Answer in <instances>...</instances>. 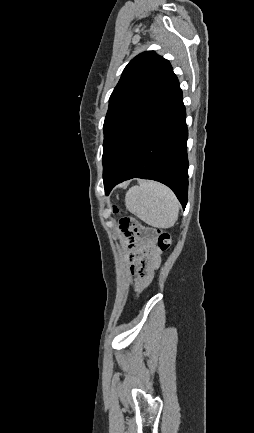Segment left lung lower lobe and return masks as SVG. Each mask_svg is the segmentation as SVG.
<instances>
[{"label":"left lung lower lobe","instance_id":"0a47b994","mask_svg":"<svg viewBox=\"0 0 254 433\" xmlns=\"http://www.w3.org/2000/svg\"><path fill=\"white\" fill-rule=\"evenodd\" d=\"M186 113L178 80L137 132L123 160L104 182L105 193L131 178L159 181L170 187L183 209L188 193Z\"/></svg>","mask_w":254,"mask_h":433}]
</instances>
